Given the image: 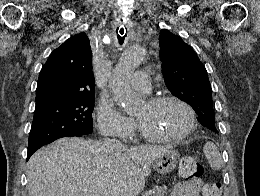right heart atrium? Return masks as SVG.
<instances>
[{
    "label": "right heart atrium",
    "instance_id": "1",
    "mask_svg": "<svg viewBox=\"0 0 260 196\" xmlns=\"http://www.w3.org/2000/svg\"><path fill=\"white\" fill-rule=\"evenodd\" d=\"M96 119L100 132L109 135L117 130H132L134 121L127 117L112 101H104L96 111ZM110 143V142H94ZM78 163V162H77ZM170 163V162H169Z\"/></svg>",
    "mask_w": 260,
    "mask_h": 196
}]
</instances>
